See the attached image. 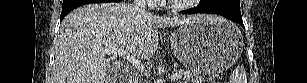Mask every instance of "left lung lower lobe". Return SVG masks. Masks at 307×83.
<instances>
[{"label":"left lung lower lobe","instance_id":"1","mask_svg":"<svg viewBox=\"0 0 307 83\" xmlns=\"http://www.w3.org/2000/svg\"><path fill=\"white\" fill-rule=\"evenodd\" d=\"M196 13L219 14L231 21L238 22L244 28L240 9H236L234 6L230 4L213 6L212 3L202 0L200 1L197 7L183 12V14H196Z\"/></svg>","mask_w":307,"mask_h":83}]
</instances>
